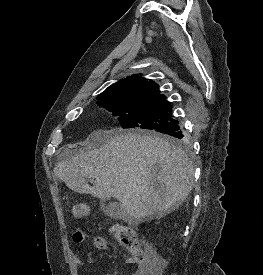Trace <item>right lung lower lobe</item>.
<instances>
[{"instance_id":"98d812e1","label":"right lung lower lobe","mask_w":263,"mask_h":275,"mask_svg":"<svg viewBox=\"0 0 263 275\" xmlns=\"http://www.w3.org/2000/svg\"><path fill=\"white\" fill-rule=\"evenodd\" d=\"M158 132L167 134V135H171V136H174L179 139H182L184 137V135L181 131V128L179 126V122H176L175 124H173L169 127L162 128Z\"/></svg>"}]
</instances>
